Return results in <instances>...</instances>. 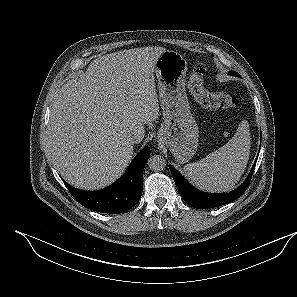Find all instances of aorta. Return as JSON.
Masks as SVG:
<instances>
[{
    "label": "aorta",
    "mask_w": 297,
    "mask_h": 297,
    "mask_svg": "<svg viewBox=\"0 0 297 297\" xmlns=\"http://www.w3.org/2000/svg\"><path fill=\"white\" fill-rule=\"evenodd\" d=\"M148 166L152 171L158 172L165 168L166 162L163 156L153 155L148 159Z\"/></svg>",
    "instance_id": "obj_1"
}]
</instances>
